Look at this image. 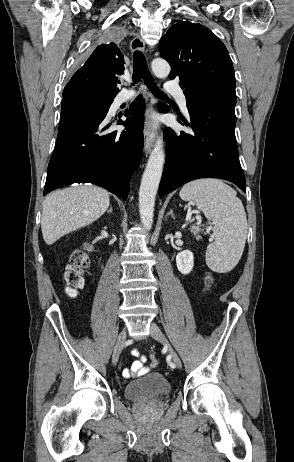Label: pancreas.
Instances as JSON below:
<instances>
[{
  "label": "pancreas",
  "instance_id": "1",
  "mask_svg": "<svg viewBox=\"0 0 294 462\" xmlns=\"http://www.w3.org/2000/svg\"><path fill=\"white\" fill-rule=\"evenodd\" d=\"M190 231L195 236L196 240L202 239L200 234L202 233L203 230L200 228V226H192L190 228Z\"/></svg>",
  "mask_w": 294,
  "mask_h": 462
}]
</instances>
